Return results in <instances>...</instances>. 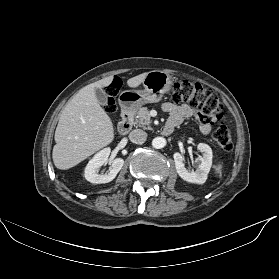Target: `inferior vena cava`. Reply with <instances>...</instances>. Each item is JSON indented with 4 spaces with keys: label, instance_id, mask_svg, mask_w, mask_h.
<instances>
[{
    "label": "inferior vena cava",
    "instance_id": "602c4592",
    "mask_svg": "<svg viewBox=\"0 0 279 279\" xmlns=\"http://www.w3.org/2000/svg\"><path fill=\"white\" fill-rule=\"evenodd\" d=\"M129 139L135 144H143L147 139V134L143 130H133L129 134Z\"/></svg>",
    "mask_w": 279,
    "mask_h": 279
}]
</instances>
